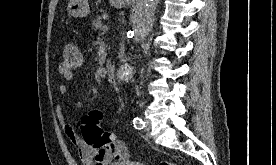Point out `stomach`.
<instances>
[{
	"instance_id": "1",
	"label": "stomach",
	"mask_w": 276,
	"mask_h": 165,
	"mask_svg": "<svg viewBox=\"0 0 276 165\" xmlns=\"http://www.w3.org/2000/svg\"><path fill=\"white\" fill-rule=\"evenodd\" d=\"M109 2L112 6L121 8L126 0H109ZM67 11L73 17H86L90 12L88 0H70Z\"/></svg>"
}]
</instances>
